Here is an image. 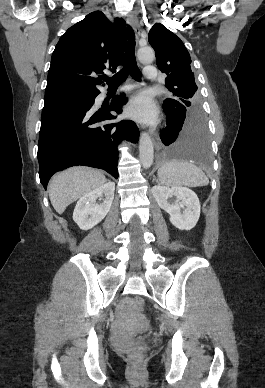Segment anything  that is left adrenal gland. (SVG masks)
I'll return each instance as SVG.
<instances>
[{
	"label": "left adrenal gland",
	"mask_w": 265,
	"mask_h": 388,
	"mask_svg": "<svg viewBox=\"0 0 265 388\" xmlns=\"http://www.w3.org/2000/svg\"><path fill=\"white\" fill-rule=\"evenodd\" d=\"M153 182H156V184H159L158 180H156L155 176L153 178Z\"/></svg>",
	"instance_id": "obj_1"
}]
</instances>
